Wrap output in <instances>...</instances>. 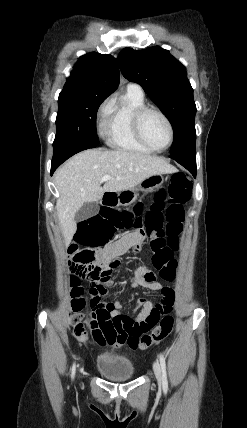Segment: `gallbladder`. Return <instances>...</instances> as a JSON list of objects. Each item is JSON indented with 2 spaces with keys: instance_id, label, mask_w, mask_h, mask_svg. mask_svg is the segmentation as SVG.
<instances>
[{
  "instance_id": "gallbladder-1",
  "label": "gallbladder",
  "mask_w": 247,
  "mask_h": 428,
  "mask_svg": "<svg viewBox=\"0 0 247 428\" xmlns=\"http://www.w3.org/2000/svg\"><path fill=\"white\" fill-rule=\"evenodd\" d=\"M99 211V205L97 202H87L76 212L75 221L82 222L93 216H95Z\"/></svg>"
}]
</instances>
